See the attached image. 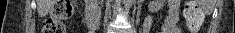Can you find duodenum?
Segmentation results:
<instances>
[{
	"mask_svg": "<svg viewBox=\"0 0 235 33\" xmlns=\"http://www.w3.org/2000/svg\"><path fill=\"white\" fill-rule=\"evenodd\" d=\"M99 14V9L92 2H90L86 9V21L90 29L96 30L98 28Z\"/></svg>",
	"mask_w": 235,
	"mask_h": 33,
	"instance_id": "obj_1",
	"label": "duodenum"
}]
</instances>
